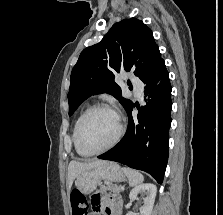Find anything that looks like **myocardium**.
I'll use <instances>...</instances> for the list:
<instances>
[{"mask_svg":"<svg viewBox=\"0 0 223 215\" xmlns=\"http://www.w3.org/2000/svg\"><path fill=\"white\" fill-rule=\"evenodd\" d=\"M99 110H108V111L112 112L117 117L118 132H117L115 138L113 139V141L108 146H106L105 148L100 149L98 151H86V150L83 149L82 142H81L82 130H83V127H84L86 121L90 118V116L92 114H94L95 112L99 111ZM123 134H124V125L122 123V120H121V117H120L119 113L113 107H111L108 104L98 103V104H95L92 107H90L85 112L83 117L81 118V120L78 124V127H77V131H76V143H77L78 149L81 151L82 154H84L86 156H97V155H100L101 153H103L105 151L113 149L119 143Z\"/></svg>","mask_w":223,"mask_h":215,"instance_id":"1","label":"myocardium"}]
</instances>
